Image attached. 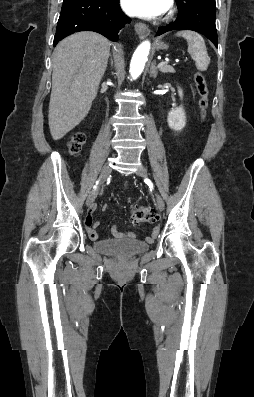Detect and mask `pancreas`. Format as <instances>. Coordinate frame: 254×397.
I'll return each mask as SVG.
<instances>
[{"mask_svg": "<svg viewBox=\"0 0 254 397\" xmlns=\"http://www.w3.org/2000/svg\"><path fill=\"white\" fill-rule=\"evenodd\" d=\"M160 71L163 73H175V69L169 65H164L160 67Z\"/></svg>", "mask_w": 254, "mask_h": 397, "instance_id": "obj_1", "label": "pancreas"}]
</instances>
